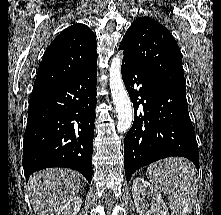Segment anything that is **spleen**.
I'll use <instances>...</instances> for the list:
<instances>
[{"mask_svg":"<svg viewBox=\"0 0 221 215\" xmlns=\"http://www.w3.org/2000/svg\"><path fill=\"white\" fill-rule=\"evenodd\" d=\"M147 177L168 197L172 215L192 212L199 187L195 166L186 158L170 157L147 168Z\"/></svg>","mask_w":221,"mask_h":215,"instance_id":"3e777b00","label":"spleen"}]
</instances>
